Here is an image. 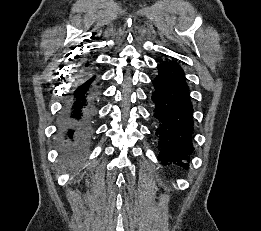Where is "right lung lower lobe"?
I'll use <instances>...</instances> for the list:
<instances>
[{
    "label": "right lung lower lobe",
    "mask_w": 261,
    "mask_h": 231,
    "mask_svg": "<svg viewBox=\"0 0 261 231\" xmlns=\"http://www.w3.org/2000/svg\"><path fill=\"white\" fill-rule=\"evenodd\" d=\"M97 83V76L92 71L82 72L65 98L59 132L63 154L70 161L80 159L87 148L91 136Z\"/></svg>",
    "instance_id": "obj_1"
}]
</instances>
